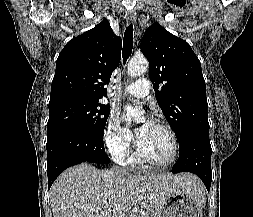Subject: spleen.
<instances>
[{
    "instance_id": "3e777b00",
    "label": "spleen",
    "mask_w": 253,
    "mask_h": 217,
    "mask_svg": "<svg viewBox=\"0 0 253 217\" xmlns=\"http://www.w3.org/2000/svg\"><path fill=\"white\" fill-rule=\"evenodd\" d=\"M201 199H202V202L205 204V198H204V196H202Z\"/></svg>"
}]
</instances>
